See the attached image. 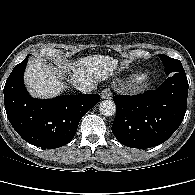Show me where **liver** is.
I'll return each mask as SVG.
<instances>
[{
    "label": "liver",
    "mask_w": 195,
    "mask_h": 195,
    "mask_svg": "<svg viewBox=\"0 0 195 195\" xmlns=\"http://www.w3.org/2000/svg\"><path fill=\"white\" fill-rule=\"evenodd\" d=\"M118 61L110 56L93 55L78 59L71 69L73 85L85 81L96 83V80H106L113 75ZM25 83L30 93L39 98H51L59 95L65 85L59 77V72L42 59L32 60L25 72Z\"/></svg>",
    "instance_id": "obj_1"
}]
</instances>
